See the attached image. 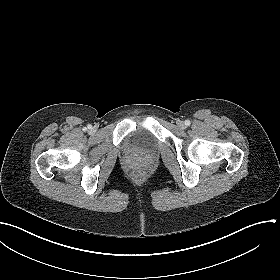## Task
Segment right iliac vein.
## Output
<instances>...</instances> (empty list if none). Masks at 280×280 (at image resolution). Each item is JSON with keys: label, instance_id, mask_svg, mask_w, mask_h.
Listing matches in <instances>:
<instances>
[{"label": "right iliac vein", "instance_id": "1", "mask_svg": "<svg viewBox=\"0 0 280 280\" xmlns=\"http://www.w3.org/2000/svg\"><path fill=\"white\" fill-rule=\"evenodd\" d=\"M95 131H96V129H95L94 127H91V128H90V132H91V133H94Z\"/></svg>", "mask_w": 280, "mask_h": 280}]
</instances>
